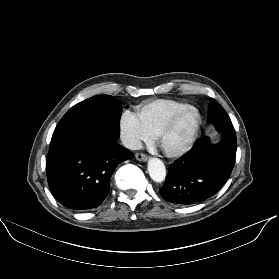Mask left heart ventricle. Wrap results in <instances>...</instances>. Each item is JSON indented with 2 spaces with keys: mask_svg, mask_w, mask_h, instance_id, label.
<instances>
[{
  "mask_svg": "<svg viewBox=\"0 0 279 279\" xmlns=\"http://www.w3.org/2000/svg\"><path fill=\"white\" fill-rule=\"evenodd\" d=\"M196 122V113L193 111L186 112L179 118L172 130L164 138L163 147L167 150H176L180 148L187 140Z\"/></svg>",
  "mask_w": 279,
  "mask_h": 279,
  "instance_id": "obj_1",
  "label": "left heart ventricle"
}]
</instances>
